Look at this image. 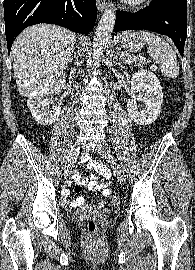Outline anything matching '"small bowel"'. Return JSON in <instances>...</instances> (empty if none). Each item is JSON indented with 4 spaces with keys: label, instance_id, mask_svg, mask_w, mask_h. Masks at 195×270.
Returning <instances> with one entry per match:
<instances>
[{
    "label": "small bowel",
    "instance_id": "small-bowel-1",
    "mask_svg": "<svg viewBox=\"0 0 195 270\" xmlns=\"http://www.w3.org/2000/svg\"><path fill=\"white\" fill-rule=\"evenodd\" d=\"M83 162H86L87 167L96 173L89 175L87 178H82L76 176L77 187L75 192H80L82 186H87L90 190H99L104 197H108L111 193V178L112 174L110 169L103 163L91 159L88 155H84L82 158ZM98 175L104 178V181L98 180ZM84 199L82 197H77L75 199H68L66 203L70 206H79L84 204Z\"/></svg>",
    "mask_w": 195,
    "mask_h": 270
}]
</instances>
